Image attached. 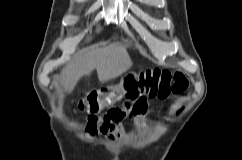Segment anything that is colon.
<instances>
[{"label":"colon","instance_id":"1","mask_svg":"<svg viewBox=\"0 0 242 160\" xmlns=\"http://www.w3.org/2000/svg\"><path fill=\"white\" fill-rule=\"evenodd\" d=\"M187 87L188 80L180 71L148 69L138 74H126L118 83L88 91L79 100L78 108L89 114L86 132L95 134L105 123L120 120L119 103L130 116L144 117L148 112V98L166 97L183 92ZM101 112H105L102 117L98 116Z\"/></svg>","mask_w":242,"mask_h":160}]
</instances>
